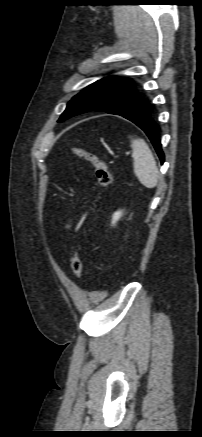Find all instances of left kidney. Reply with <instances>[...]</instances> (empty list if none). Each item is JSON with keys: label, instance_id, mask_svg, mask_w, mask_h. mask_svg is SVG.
I'll list each match as a JSON object with an SVG mask.
<instances>
[{"label": "left kidney", "instance_id": "5707ae66", "mask_svg": "<svg viewBox=\"0 0 202 437\" xmlns=\"http://www.w3.org/2000/svg\"><path fill=\"white\" fill-rule=\"evenodd\" d=\"M122 215V211L115 212L112 216V225H115V223L121 218Z\"/></svg>", "mask_w": 202, "mask_h": 437}]
</instances>
